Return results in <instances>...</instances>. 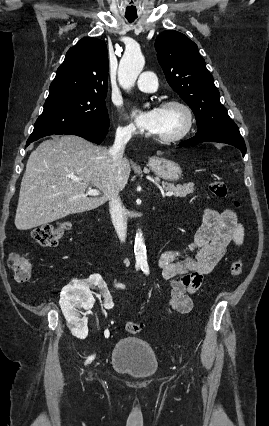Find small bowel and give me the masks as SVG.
<instances>
[{"mask_svg": "<svg viewBox=\"0 0 269 426\" xmlns=\"http://www.w3.org/2000/svg\"><path fill=\"white\" fill-rule=\"evenodd\" d=\"M243 241L244 228L233 210H204L192 244L185 250L162 251L158 256L162 277L172 287L168 305L179 313L190 312L191 295L201 287L204 275L214 269L231 246H240Z\"/></svg>", "mask_w": 269, "mask_h": 426, "instance_id": "small-bowel-1", "label": "small bowel"}]
</instances>
